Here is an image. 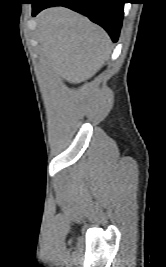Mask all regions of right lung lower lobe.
I'll use <instances>...</instances> for the list:
<instances>
[{"label":"right lung lower lobe","mask_w":166,"mask_h":267,"mask_svg":"<svg viewBox=\"0 0 166 267\" xmlns=\"http://www.w3.org/2000/svg\"><path fill=\"white\" fill-rule=\"evenodd\" d=\"M124 3L125 0H35L32 15L51 6L68 7L102 26L116 42L122 25Z\"/></svg>","instance_id":"obj_1"}]
</instances>
